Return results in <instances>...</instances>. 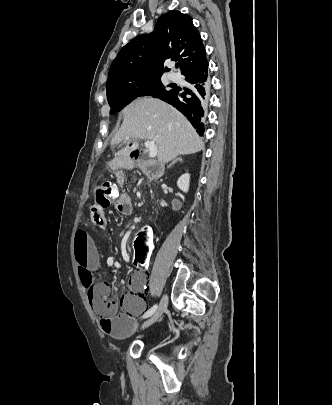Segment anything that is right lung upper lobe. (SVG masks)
Instances as JSON below:
<instances>
[{
    "instance_id": "cb5924a9",
    "label": "right lung upper lobe",
    "mask_w": 332,
    "mask_h": 405,
    "mask_svg": "<svg viewBox=\"0 0 332 405\" xmlns=\"http://www.w3.org/2000/svg\"><path fill=\"white\" fill-rule=\"evenodd\" d=\"M205 58V48L192 18L170 11L158 19L152 33L133 39L120 50L110 67L107 89L130 78L161 76L163 63L168 59H177L183 73Z\"/></svg>"
}]
</instances>
